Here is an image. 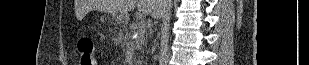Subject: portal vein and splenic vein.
Here are the masks:
<instances>
[{
  "mask_svg": "<svg viewBox=\"0 0 309 65\" xmlns=\"http://www.w3.org/2000/svg\"><path fill=\"white\" fill-rule=\"evenodd\" d=\"M146 26V23L144 21H141V25L139 26V29H144Z\"/></svg>",
  "mask_w": 309,
  "mask_h": 65,
  "instance_id": "1",
  "label": "portal vein and splenic vein"
}]
</instances>
